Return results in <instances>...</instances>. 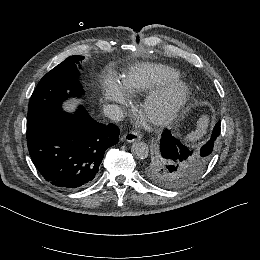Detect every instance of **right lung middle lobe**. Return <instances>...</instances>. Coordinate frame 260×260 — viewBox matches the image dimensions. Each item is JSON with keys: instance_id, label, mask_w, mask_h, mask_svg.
<instances>
[{"instance_id": "obj_1", "label": "right lung middle lobe", "mask_w": 260, "mask_h": 260, "mask_svg": "<svg viewBox=\"0 0 260 260\" xmlns=\"http://www.w3.org/2000/svg\"><path fill=\"white\" fill-rule=\"evenodd\" d=\"M83 58L78 55L68 57L40 80L29 102L27 131L62 113L63 100L84 93L76 66Z\"/></svg>"}]
</instances>
